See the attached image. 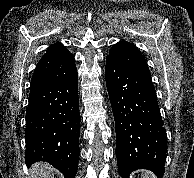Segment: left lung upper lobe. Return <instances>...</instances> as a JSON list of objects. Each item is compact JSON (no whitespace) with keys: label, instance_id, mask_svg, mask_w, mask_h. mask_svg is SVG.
I'll list each match as a JSON object with an SVG mask.
<instances>
[{"label":"left lung upper lobe","instance_id":"1","mask_svg":"<svg viewBox=\"0 0 194 178\" xmlns=\"http://www.w3.org/2000/svg\"><path fill=\"white\" fill-rule=\"evenodd\" d=\"M107 58H111L134 71L151 76L146 59L132 43L120 41L113 45Z\"/></svg>","mask_w":194,"mask_h":178}]
</instances>
